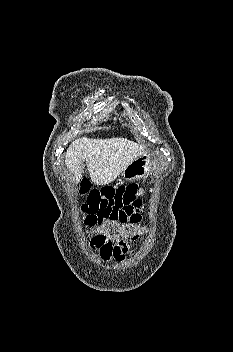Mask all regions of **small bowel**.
<instances>
[{
	"mask_svg": "<svg viewBox=\"0 0 233 352\" xmlns=\"http://www.w3.org/2000/svg\"><path fill=\"white\" fill-rule=\"evenodd\" d=\"M80 193L86 196L81 211L87 224L106 219L139 224L142 220L141 189L135 183L94 188L88 181H84ZM91 247L104 261H122L128 253L126 243L102 241L98 237L91 240Z\"/></svg>",
	"mask_w": 233,
	"mask_h": 352,
	"instance_id": "small-bowel-1",
	"label": "small bowel"
}]
</instances>
